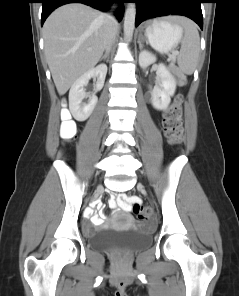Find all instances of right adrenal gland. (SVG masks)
I'll return each instance as SVG.
<instances>
[{
	"label": "right adrenal gland",
	"instance_id": "2a0ac1e0",
	"mask_svg": "<svg viewBox=\"0 0 239 296\" xmlns=\"http://www.w3.org/2000/svg\"><path fill=\"white\" fill-rule=\"evenodd\" d=\"M109 54H110V49L106 51V53L102 56V58L100 59V61L106 60V59H107V61H109L108 60Z\"/></svg>",
	"mask_w": 239,
	"mask_h": 296
}]
</instances>
